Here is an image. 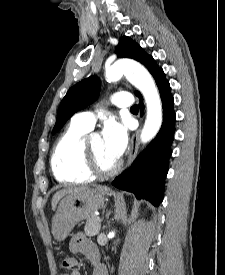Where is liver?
<instances>
[{
  "mask_svg": "<svg viewBox=\"0 0 225 275\" xmlns=\"http://www.w3.org/2000/svg\"><path fill=\"white\" fill-rule=\"evenodd\" d=\"M89 190V187L87 186H79V187H71V188H66V189H62L57 191L52 198V209H55L58 202L65 196L67 195H71V194H78L81 192H85Z\"/></svg>",
  "mask_w": 225,
  "mask_h": 275,
  "instance_id": "obj_1",
  "label": "liver"
}]
</instances>
